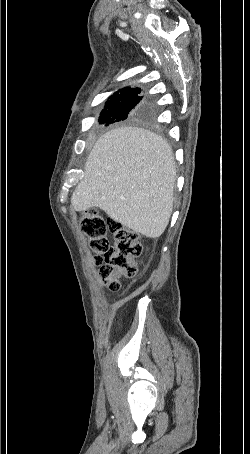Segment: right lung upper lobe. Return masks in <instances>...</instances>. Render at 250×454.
<instances>
[{"label":"right lung upper lobe","instance_id":"1","mask_svg":"<svg viewBox=\"0 0 250 454\" xmlns=\"http://www.w3.org/2000/svg\"><path fill=\"white\" fill-rule=\"evenodd\" d=\"M129 89H131V88H125V89L119 90L118 92H115L110 98L115 97V96H119L120 93H123L124 91H127Z\"/></svg>","mask_w":250,"mask_h":454}]
</instances>
